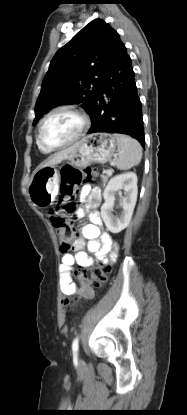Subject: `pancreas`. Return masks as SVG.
<instances>
[{
    "label": "pancreas",
    "instance_id": "cf45deb5",
    "mask_svg": "<svg viewBox=\"0 0 187 415\" xmlns=\"http://www.w3.org/2000/svg\"><path fill=\"white\" fill-rule=\"evenodd\" d=\"M112 175V173H107L106 175H102V181H103V186H105L106 182L108 181V178Z\"/></svg>",
    "mask_w": 187,
    "mask_h": 415
}]
</instances>
